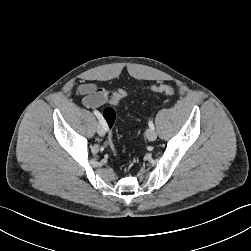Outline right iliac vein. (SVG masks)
<instances>
[{"label":"right iliac vein","instance_id":"right-iliac-vein-1","mask_svg":"<svg viewBox=\"0 0 251 251\" xmlns=\"http://www.w3.org/2000/svg\"><path fill=\"white\" fill-rule=\"evenodd\" d=\"M96 130H97V133H98L100 136H104V135H105V129H104V127L102 126V124L98 123V124H97V127H96Z\"/></svg>","mask_w":251,"mask_h":251}]
</instances>
